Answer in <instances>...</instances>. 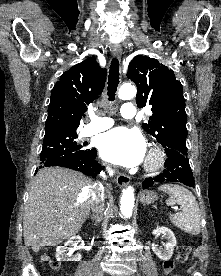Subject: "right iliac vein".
<instances>
[{
  "label": "right iliac vein",
  "instance_id": "1",
  "mask_svg": "<svg viewBox=\"0 0 221 276\" xmlns=\"http://www.w3.org/2000/svg\"><path fill=\"white\" fill-rule=\"evenodd\" d=\"M98 276H103L102 274H98Z\"/></svg>",
  "mask_w": 221,
  "mask_h": 276
}]
</instances>
